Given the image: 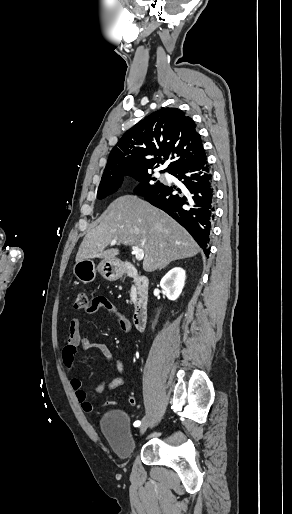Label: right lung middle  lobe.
<instances>
[{
	"mask_svg": "<svg viewBox=\"0 0 292 514\" xmlns=\"http://www.w3.org/2000/svg\"><path fill=\"white\" fill-rule=\"evenodd\" d=\"M131 177L139 182V185L136 187L134 192L140 196H144L145 194L154 191L163 185L160 183V181L152 182L156 179L152 178L149 172L131 175ZM123 178L124 176L102 180L98 188L97 198L103 199L115 193L120 187Z\"/></svg>",
	"mask_w": 292,
	"mask_h": 514,
	"instance_id": "1",
	"label": "right lung middle lobe"
}]
</instances>
